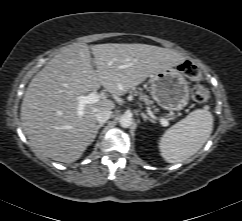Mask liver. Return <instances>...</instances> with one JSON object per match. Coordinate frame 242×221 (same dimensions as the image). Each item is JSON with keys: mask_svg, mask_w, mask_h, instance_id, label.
<instances>
[{"mask_svg": "<svg viewBox=\"0 0 242 221\" xmlns=\"http://www.w3.org/2000/svg\"><path fill=\"white\" fill-rule=\"evenodd\" d=\"M94 55L96 70L91 65ZM185 57L147 44L74 43L56 54L31 80L21 105V121L31 145L45 157L71 163L93 142L96 110H112V100L86 104L79 116V95L103 86L121 96L153 74L178 66Z\"/></svg>", "mask_w": 242, "mask_h": 221, "instance_id": "obj_1", "label": "liver"}]
</instances>
